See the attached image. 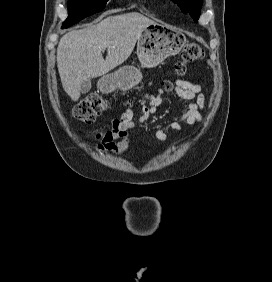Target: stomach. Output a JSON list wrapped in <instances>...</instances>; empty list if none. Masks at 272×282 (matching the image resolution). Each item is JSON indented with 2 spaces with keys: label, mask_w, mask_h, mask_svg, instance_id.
Masks as SVG:
<instances>
[{
  "label": "stomach",
  "mask_w": 272,
  "mask_h": 282,
  "mask_svg": "<svg viewBox=\"0 0 272 282\" xmlns=\"http://www.w3.org/2000/svg\"><path fill=\"white\" fill-rule=\"evenodd\" d=\"M185 40L182 33L170 26L153 23L141 33L137 40L138 59L144 67H156L167 57L178 54ZM141 78L139 69L126 65L104 76L100 81V87L104 92H111L117 88L127 91L136 86Z\"/></svg>",
  "instance_id": "0dacf381"
}]
</instances>
